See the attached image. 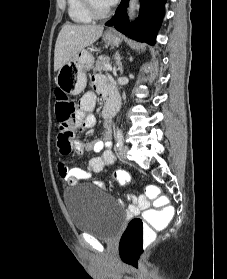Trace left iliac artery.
I'll use <instances>...</instances> for the list:
<instances>
[{"label": "left iliac artery", "mask_w": 227, "mask_h": 279, "mask_svg": "<svg viewBox=\"0 0 227 279\" xmlns=\"http://www.w3.org/2000/svg\"><path fill=\"white\" fill-rule=\"evenodd\" d=\"M116 140H117V149H121L123 144H124V137H123V132L121 129H118L116 132Z\"/></svg>", "instance_id": "obj_1"}]
</instances>
